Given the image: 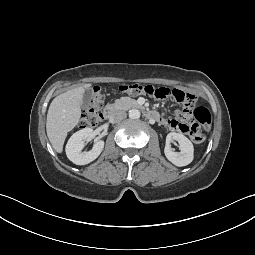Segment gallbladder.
Masks as SVG:
<instances>
[{
    "mask_svg": "<svg viewBox=\"0 0 255 255\" xmlns=\"http://www.w3.org/2000/svg\"><path fill=\"white\" fill-rule=\"evenodd\" d=\"M91 96H92V91L90 89H86L85 92L83 93V97H82L81 105L83 107L88 106V104L90 102V99H91Z\"/></svg>",
    "mask_w": 255,
    "mask_h": 255,
    "instance_id": "1",
    "label": "gallbladder"
}]
</instances>
